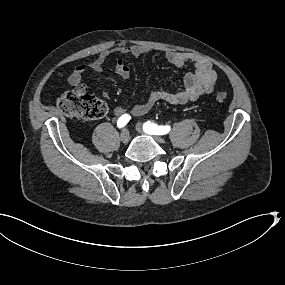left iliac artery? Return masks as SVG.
<instances>
[{"label": "left iliac artery", "mask_w": 285, "mask_h": 285, "mask_svg": "<svg viewBox=\"0 0 285 285\" xmlns=\"http://www.w3.org/2000/svg\"><path fill=\"white\" fill-rule=\"evenodd\" d=\"M143 130L145 133L151 135H163L170 131V126H158L157 124L148 121L143 124Z\"/></svg>", "instance_id": "obj_1"}]
</instances>
